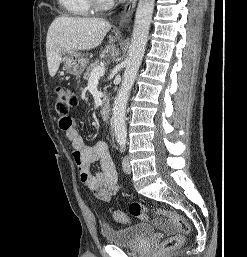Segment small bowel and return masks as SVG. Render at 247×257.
Here are the masks:
<instances>
[{
	"label": "small bowel",
	"mask_w": 247,
	"mask_h": 257,
	"mask_svg": "<svg viewBox=\"0 0 247 257\" xmlns=\"http://www.w3.org/2000/svg\"><path fill=\"white\" fill-rule=\"evenodd\" d=\"M59 126L71 142L73 160L78 168L83 185L99 199L108 201L117 194L121 185L118 182L116 168L107 143L98 141L94 145L86 144L71 117L70 125L67 126L59 118ZM96 162L100 164V171L92 174L90 168ZM159 224L167 231L171 230L167 224L162 222H159Z\"/></svg>",
	"instance_id": "obj_1"
}]
</instances>
